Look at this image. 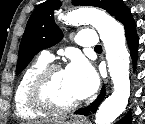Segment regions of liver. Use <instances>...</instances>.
I'll list each match as a JSON object with an SVG mask.
<instances>
[{
  "label": "liver",
  "instance_id": "1",
  "mask_svg": "<svg viewBox=\"0 0 145 124\" xmlns=\"http://www.w3.org/2000/svg\"><path fill=\"white\" fill-rule=\"evenodd\" d=\"M65 118L61 117V118H56V119H50L47 121H40V122H35L34 124H62L64 123Z\"/></svg>",
  "mask_w": 145,
  "mask_h": 124
}]
</instances>
